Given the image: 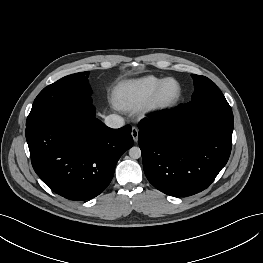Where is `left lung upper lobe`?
I'll return each instance as SVG.
<instances>
[{
  "label": "left lung upper lobe",
  "mask_w": 263,
  "mask_h": 263,
  "mask_svg": "<svg viewBox=\"0 0 263 263\" xmlns=\"http://www.w3.org/2000/svg\"><path fill=\"white\" fill-rule=\"evenodd\" d=\"M195 91L191 102L184 104L189 112L208 109H231L222 92L214 82L204 76L192 74Z\"/></svg>",
  "instance_id": "5c2ea615"
}]
</instances>
